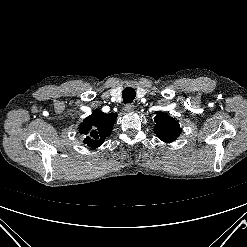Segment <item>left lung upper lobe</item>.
I'll use <instances>...</instances> for the list:
<instances>
[{
	"mask_svg": "<svg viewBox=\"0 0 247 247\" xmlns=\"http://www.w3.org/2000/svg\"><path fill=\"white\" fill-rule=\"evenodd\" d=\"M154 131L158 138L164 142H172L177 139L181 133V128L177 120L166 113L156 112Z\"/></svg>",
	"mask_w": 247,
	"mask_h": 247,
	"instance_id": "5c2ea615",
	"label": "left lung upper lobe"
}]
</instances>
